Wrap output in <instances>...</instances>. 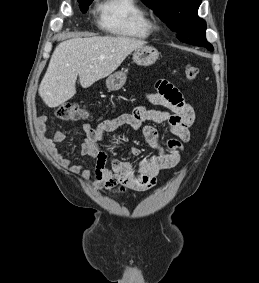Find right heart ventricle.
<instances>
[{
    "label": "right heart ventricle",
    "mask_w": 259,
    "mask_h": 283,
    "mask_svg": "<svg viewBox=\"0 0 259 283\" xmlns=\"http://www.w3.org/2000/svg\"><path fill=\"white\" fill-rule=\"evenodd\" d=\"M100 23L107 32L120 37L146 39L152 34L150 15L138 0H104Z\"/></svg>",
    "instance_id": "right-heart-ventricle-1"
}]
</instances>
